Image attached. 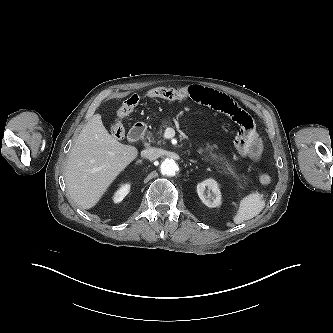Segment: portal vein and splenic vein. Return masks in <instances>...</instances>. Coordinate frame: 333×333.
<instances>
[{
  "instance_id": "portal-vein-and-splenic-vein-1",
  "label": "portal vein and splenic vein",
  "mask_w": 333,
  "mask_h": 333,
  "mask_svg": "<svg viewBox=\"0 0 333 333\" xmlns=\"http://www.w3.org/2000/svg\"><path fill=\"white\" fill-rule=\"evenodd\" d=\"M174 133L175 132H174V130L172 128H167L166 131H165V133H164V137L166 139H170V138H172L174 136Z\"/></svg>"
}]
</instances>
